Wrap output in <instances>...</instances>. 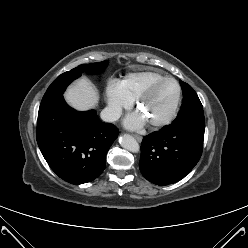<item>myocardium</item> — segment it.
<instances>
[{
	"label": "myocardium",
	"instance_id": "myocardium-1",
	"mask_svg": "<svg viewBox=\"0 0 248 248\" xmlns=\"http://www.w3.org/2000/svg\"><path fill=\"white\" fill-rule=\"evenodd\" d=\"M165 82H172L175 84L176 88H177V98L175 101L174 106L172 107L171 111L163 118L156 120V121H152L149 122V124L152 127H162L165 126L167 124H169L170 122H172L174 120V118L176 117L181 102H182V89L181 86L179 84V82L172 78V77H164L160 80H157L155 82H153L152 84H150L137 98H136V107L139 108L152 94V92L162 83Z\"/></svg>",
	"mask_w": 248,
	"mask_h": 248
}]
</instances>
